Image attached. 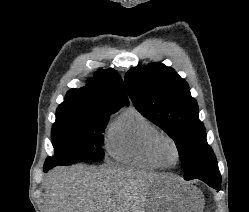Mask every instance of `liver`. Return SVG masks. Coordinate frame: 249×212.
Here are the masks:
<instances>
[{
  "label": "liver",
  "instance_id": "obj_1",
  "mask_svg": "<svg viewBox=\"0 0 249 212\" xmlns=\"http://www.w3.org/2000/svg\"><path fill=\"white\" fill-rule=\"evenodd\" d=\"M169 174L132 168L58 166L44 180L46 212H145L150 186Z\"/></svg>",
  "mask_w": 249,
  "mask_h": 212
}]
</instances>
